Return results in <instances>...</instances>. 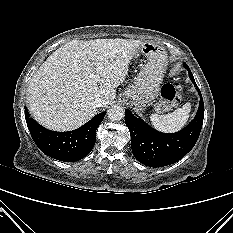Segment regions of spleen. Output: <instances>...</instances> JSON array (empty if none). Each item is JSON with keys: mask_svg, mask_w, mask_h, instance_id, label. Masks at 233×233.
Here are the masks:
<instances>
[{"mask_svg": "<svg viewBox=\"0 0 233 233\" xmlns=\"http://www.w3.org/2000/svg\"><path fill=\"white\" fill-rule=\"evenodd\" d=\"M191 111L190 103H186L182 108L166 115L152 114L150 120L152 125L162 132H177L187 123Z\"/></svg>", "mask_w": 233, "mask_h": 233, "instance_id": "spleen-1", "label": "spleen"}]
</instances>
